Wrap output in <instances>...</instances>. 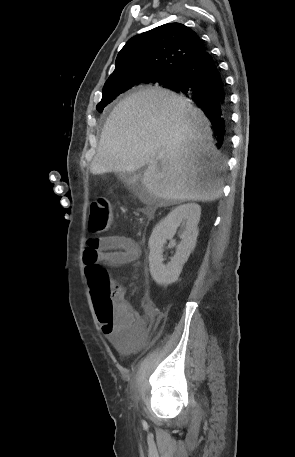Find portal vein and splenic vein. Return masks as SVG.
I'll list each match as a JSON object with an SVG mask.
<instances>
[{
  "instance_id": "portal-vein-and-splenic-vein-1",
  "label": "portal vein and splenic vein",
  "mask_w": 295,
  "mask_h": 457,
  "mask_svg": "<svg viewBox=\"0 0 295 457\" xmlns=\"http://www.w3.org/2000/svg\"><path fill=\"white\" fill-rule=\"evenodd\" d=\"M162 157H163V155H159V156H158V159H162Z\"/></svg>"
}]
</instances>
